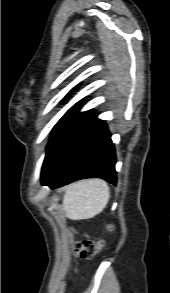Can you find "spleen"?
<instances>
[{"instance_id": "obj_1", "label": "spleen", "mask_w": 170, "mask_h": 293, "mask_svg": "<svg viewBox=\"0 0 170 293\" xmlns=\"http://www.w3.org/2000/svg\"><path fill=\"white\" fill-rule=\"evenodd\" d=\"M109 198L110 190L105 181L81 180L67 188L63 198V209L70 219H89L103 211Z\"/></svg>"}]
</instances>
